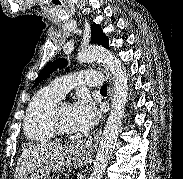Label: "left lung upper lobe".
Here are the masks:
<instances>
[{
    "label": "left lung upper lobe",
    "mask_w": 183,
    "mask_h": 179,
    "mask_svg": "<svg viewBox=\"0 0 183 179\" xmlns=\"http://www.w3.org/2000/svg\"><path fill=\"white\" fill-rule=\"evenodd\" d=\"M92 43L109 47L108 37L104 35L99 25L93 23L91 26ZM67 61L65 59H56L53 63L47 64L39 73L34 85L37 86L43 79H46L57 67H65Z\"/></svg>",
    "instance_id": "left-lung-upper-lobe-1"
}]
</instances>
